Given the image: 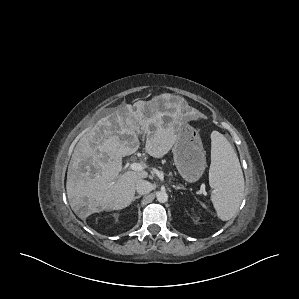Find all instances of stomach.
<instances>
[{
  "label": "stomach",
  "instance_id": "obj_1",
  "mask_svg": "<svg viewBox=\"0 0 299 299\" xmlns=\"http://www.w3.org/2000/svg\"><path fill=\"white\" fill-rule=\"evenodd\" d=\"M174 163L187 182H196L206 168V153L199 132L188 124L175 128Z\"/></svg>",
  "mask_w": 299,
  "mask_h": 299
}]
</instances>
